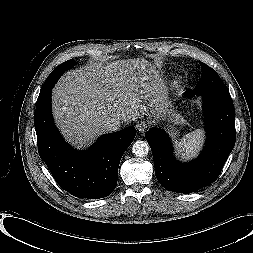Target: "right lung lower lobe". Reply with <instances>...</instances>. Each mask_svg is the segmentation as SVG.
Segmentation results:
<instances>
[{
    "label": "right lung lower lobe",
    "mask_w": 253,
    "mask_h": 253,
    "mask_svg": "<svg viewBox=\"0 0 253 253\" xmlns=\"http://www.w3.org/2000/svg\"><path fill=\"white\" fill-rule=\"evenodd\" d=\"M34 126L39 155L65 191L88 199L104 198L114 191L119 163L134 140L135 127L104 134L88 150L78 151L65 142L55 126L51 90L37 100Z\"/></svg>",
    "instance_id": "right-lung-lower-lobe-1"
}]
</instances>
